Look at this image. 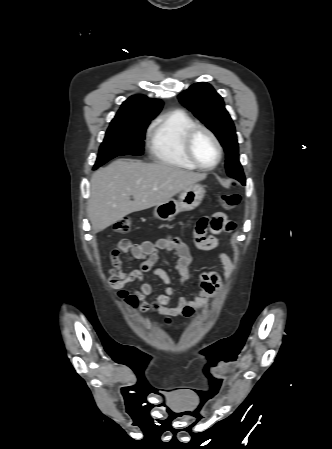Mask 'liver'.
Segmentation results:
<instances>
[{"mask_svg": "<svg viewBox=\"0 0 332 449\" xmlns=\"http://www.w3.org/2000/svg\"><path fill=\"white\" fill-rule=\"evenodd\" d=\"M205 178V173H195L165 163L118 159L92 175L87 214L94 231L98 232L130 213L172 199Z\"/></svg>", "mask_w": 332, "mask_h": 449, "instance_id": "obj_1", "label": "liver"}]
</instances>
